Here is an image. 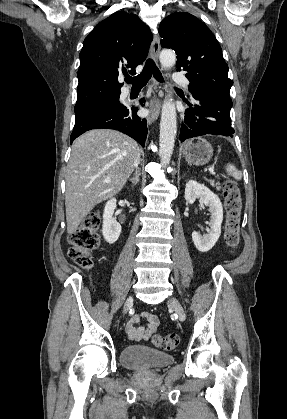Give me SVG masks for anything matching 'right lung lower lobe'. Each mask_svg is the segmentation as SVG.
<instances>
[{"label": "right lung lower lobe", "instance_id": "obj_1", "mask_svg": "<svg viewBox=\"0 0 287 419\" xmlns=\"http://www.w3.org/2000/svg\"><path fill=\"white\" fill-rule=\"evenodd\" d=\"M141 104L145 102L140 100ZM136 106H111L93 111L78 120H75L70 143L78 136L91 129H114L135 139L141 146H145L147 138L146 119L137 116Z\"/></svg>", "mask_w": 287, "mask_h": 419}]
</instances>
